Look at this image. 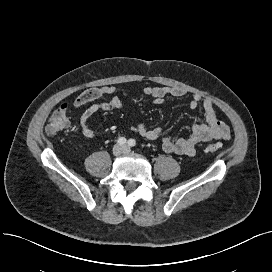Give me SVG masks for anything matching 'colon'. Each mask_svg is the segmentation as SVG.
I'll use <instances>...</instances> for the list:
<instances>
[{
	"instance_id": "colon-1",
	"label": "colon",
	"mask_w": 272,
	"mask_h": 272,
	"mask_svg": "<svg viewBox=\"0 0 272 272\" xmlns=\"http://www.w3.org/2000/svg\"><path fill=\"white\" fill-rule=\"evenodd\" d=\"M68 110L69 109L67 107H61L53 112L46 126V132L48 134H56L69 127V120L67 118ZM217 148V145L209 144L204 147V151L207 153H213Z\"/></svg>"
}]
</instances>
